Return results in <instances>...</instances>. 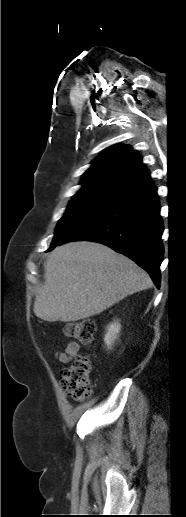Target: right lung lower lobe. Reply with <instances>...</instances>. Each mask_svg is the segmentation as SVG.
<instances>
[{
  "label": "right lung lower lobe",
  "mask_w": 186,
  "mask_h": 517,
  "mask_svg": "<svg viewBox=\"0 0 186 517\" xmlns=\"http://www.w3.org/2000/svg\"><path fill=\"white\" fill-rule=\"evenodd\" d=\"M159 211L157 189L152 185L117 201L59 244L88 240L107 245L146 270L159 288L164 229Z\"/></svg>",
  "instance_id": "right-lung-lower-lobe-1"
}]
</instances>
